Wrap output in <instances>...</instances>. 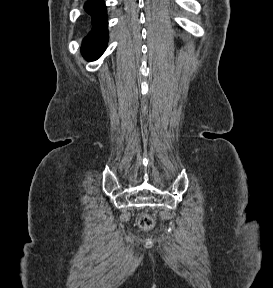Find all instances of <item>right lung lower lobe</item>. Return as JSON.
Listing matches in <instances>:
<instances>
[{"mask_svg":"<svg viewBox=\"0 0 273 288\" xmlns=\"http://www.w3.org/2000/svg\"><path fill=\"white\" fill-rule=\"evenodd\" d=\"M85 11L92 18V29L82 42V54L88 61L99 58L108 41L107 14L103 0H88Z\"/></svg>","mask_w":273,"mask_h":288,"instance_id":"obj_1","label":"right lung lower lobe"}]
</instances>
